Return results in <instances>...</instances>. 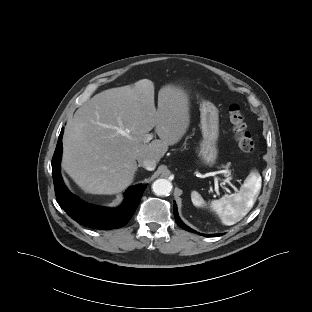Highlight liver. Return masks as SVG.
I'll return each mask as SVG.
<instances>
[{
    "label": "liver",
    "mask_w": 312,
    "mask_h": 312,
    "mask_svg": "<svg viewBox=\"0 0 312 312\" xmlns=\"http://www.w3.org/2000/svg\"><path fill=\"white\" fill-rule=\"evenodd\" d=\"M154 94V83L142 79L102 91L76 110L65 128L62 164L84 192H120L132 183L137 158L159 162L186 133L190 125L187 93L174 85L163 86L157 110ZM154 127L160 139L147 144L144 137Z\"/></svg>",
    "instance_id": "liver-1"
}]
</instances>
